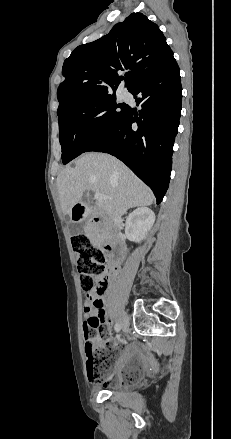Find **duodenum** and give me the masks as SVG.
I'll use <instances>...</instances> for the list:
<instances>
[{
  "label": "duodenum",
  "mask_w": 231,
  "mask_h": 439,
  "mask_svg": "<svg viewBox=\"0 0 231 439\" xmlns=\"http://www.w3.org/2000/svg\"><path fill=\"white\" fill-rule=\"evenodd\" d=\"M84 209H85V208H83V210H84ZM100 222H101V217L94 216V217L92 218V220H91V225H92V229H93V231H96V229H97V228L99 227V225H100ZM103 248H104L107 252H111V251L115 248V246H114L113 243H111V244H106V243H104V244H103ZM112 265H113V267H112L113 270H117V269H118L117 262H116L115 260H112Z\"/></svg>",
  "instance_id": "410a0bca"
}]
</instances>
